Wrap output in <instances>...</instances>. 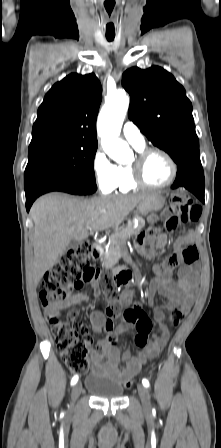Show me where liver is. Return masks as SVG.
Listing matches in <instances>:
<instances>
[{
    "label": "liver",
    "mask_w": 221,
    "mask_h": 448,
    "mask_svg": "<svg viewBox=\"0 0 221 448\" xmlns=\"http://www.w3.org/2000/svg\"><path fill=\"white\" fill-rule=\"evenodd\" d=\"M149 195L81 200L62 193H49L37 199L30 210L34 222V283L37 285L45 272L53 268L71 241L87 239L88 230L115 227Z\"/></svg>",
    "instance_id": "1"
}]
</instances>
